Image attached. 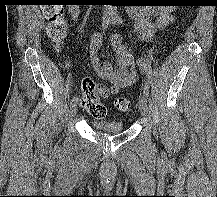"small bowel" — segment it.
<instances>
[{
    "label": "small bowel",
    "mask_w": 217,
    "mask_h": 197,
    "mask_svg": "<svg viewBox=\"0 0 217 197\" xmlns=\"http://www.w3.org/2000/svg\"><path fill=\"white\" fill-rule=\"evenodd\" d=\"M72 20L78 18L80 9L77 4L68 8ZM131 17L135 21V27L141 39L148 41L159 30L166 28L173 22V9L168 5H160L154 8L133 7L129 9ZM102 47V35L94 32L90 41V62L96 74L111 84L108 93L117 94L122 88L129 87L138 81L135 69L134 55L123 43L122 37L116 34L110 39V47L113 50V58L100 62L99 51Z\"/></svg>",
    "instance_id": "c3829d8e"
}]
</instances>
